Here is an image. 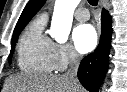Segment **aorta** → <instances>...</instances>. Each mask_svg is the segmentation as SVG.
I'll return each mask as SVG.
<instances>
[{
    "instance_id": "obj_1",
    "label": "aorta",
    "mask_w": 127,
    "mask_h": 92,
    "mask_svg": "<svg viewBox=\"0 0 127 92\" xmlns=\"http://www.w3.org/2000/svg\"><path fill=\"white\" fill-rule=\"evenodd\" d=\"M80 0H56L50 35L59 43L67 41L71 31L74 10Z\"/></svg>"
}]
</instances>
